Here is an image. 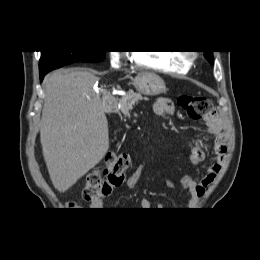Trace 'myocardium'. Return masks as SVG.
Listing matches in <instances>:
<instances>
[{
  "label": "myocardium",
  "mask_w": 260,
  "mask_h": 260,
  "mask_svg": "<svg viewBox=\"0 0 260 260\" xmlns=\"http://www.w3.org/2000/svg\"><path fill=\"white\" fill-rule=\"evenodd\" d=\"M193 58H194V55H193V54H189V55L186 56V59H187V60H191V59H193Z\"/></svg>",
  "instance_id": "obj_1"
}]
</instances>
